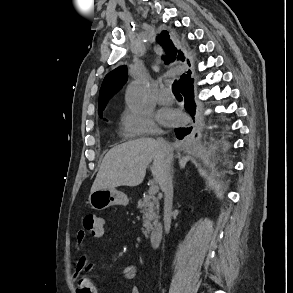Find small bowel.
Segmentation results:
<instances>
[{
	"label": "small bowel",
	"mask_w": 293,
	"mask_h": 293,
	"mask_svg": "<svg viewBox=\"0 0 293 293\" xmlns=\"http://www.w3.org/2000/svg\"><path fill=\"white\" fill-rule=\"evenodd\" d=\"M106 230L105 228L97 234H92L96 238H101L105 235ZM87 237V232L85 230H79L76 235V242L77 246L80 248L82 244L84 243L85 239ZM89 269V262L85 255H82L79 259V262L75 268L74 272V279L77 283V293H97V288L95 284L92 282L91 278L87 275H83L82 273ZM136 275V269L134 266H127L125 267L123 271V277L126 280H131ZM130 293H141L139 288L137 286H133L130 289Z\"/></svg>",
	"instance_id": "small-bowel-1"
}]
</instances>
